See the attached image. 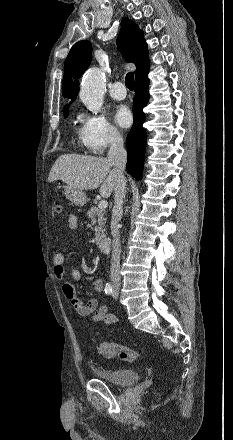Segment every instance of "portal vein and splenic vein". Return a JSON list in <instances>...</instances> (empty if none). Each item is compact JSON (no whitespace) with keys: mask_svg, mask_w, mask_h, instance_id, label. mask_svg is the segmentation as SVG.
I'll use <instances>...</instances> for the list:
<instances>
[{"mask_svg":"<svg viewBox=\"0 0 233 440\" xmlns=\"http://www.w3.org/2000/svg\"><path fill=\"white\" fill-rule=\"evenodd\" d=\"M107 206H108V202H107L106 200H101V201L99 202V204H98V207H99L100 209H106Z\"/></svg>","mask_w":233,"mask_h":440,"instance_id":"portal-vein-and-splenic-vein-1","label":"portal vein and splenic vein"}]
</instances>
